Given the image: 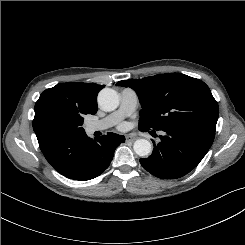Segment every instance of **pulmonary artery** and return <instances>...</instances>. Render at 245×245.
<instances>
[{
	"label": "pulmonary artery",
	"instance_id": "e3ab8cb5",
	"mask_svg": "<svg viewBox=\"0 0 245 245\" xmlns=\"http://www.w3.org/2000/svg\"><path fill=\"white\" fill-rule=\"evenodd\" d=\"M137 105L138 96L136 92L130 88L123 89L120 94V106L118 110L103 119L89 122L86 125V131L88 133H94L116 125L123 118L131 114L136 109Z\"/></svg>",
	"mask_w": 245,
	"mask_h": 245
}]
</instances>
